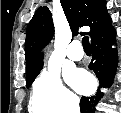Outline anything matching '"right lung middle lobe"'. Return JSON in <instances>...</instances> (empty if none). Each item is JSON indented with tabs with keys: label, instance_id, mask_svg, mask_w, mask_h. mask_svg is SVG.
<instances>
[{
	"label": "right lung middle lobe",
	"instance_id": "right-lung-middle-lobe-1",
	"mask_svg": "<svg viewBox=\"0 0 121 113\" xmlns=\"http://www.w3.org/2000/svg\"><path fill=\"white\" fill-rule=\"evenodd\" d=\"M42 67H43V64L41 66H39L36 70L27 73V77H26V87L27 88L30 87V85L34 81L35 77L40 73V70L42 69Z\"/></svg>",
	"mask_w": 121,
	"mask_h": 113
}]
</instances>
